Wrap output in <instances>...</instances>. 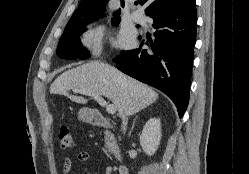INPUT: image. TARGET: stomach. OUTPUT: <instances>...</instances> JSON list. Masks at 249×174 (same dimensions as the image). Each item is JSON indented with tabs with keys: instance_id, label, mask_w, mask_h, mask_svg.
Instances as JSON below:
<instances>
[{
	"instance_id": "stomach-1",
	"label": "stomach",
	"mask_w": 249,
	"mask_h": 174,
	"mask_svg": "<svg viewBox=\"0 0 249 174\" xmlns=\"http://www.w3.org/2000/svg\"><path fill=\"white\" fill-rule=\"evenodd\" d=\"M78 117L84 122H90L93 118V113L87 108H82L78 113Z\"/></svg>"
}]
</instances>
